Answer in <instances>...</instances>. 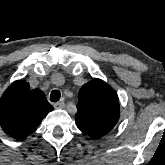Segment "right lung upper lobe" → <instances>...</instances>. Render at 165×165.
<instances>
[{
    "instance_id": "cb5924a9",
    "label": "right lung upper lobe",
    "mask_w": 165,
    "mask_h": 165,
    "mask_svg": "<svg viewBox=\"0 0 165 165\" xmlns=\"http://www.w3.org/2000/svg\"><path fill=\"white\" fill-rule=\"evenodd\" d=\"M52 110L41 90L30 91L29 83L16 81L0 99V125L9 136L25 139Z\"/></svg>"
}]
</instances>
